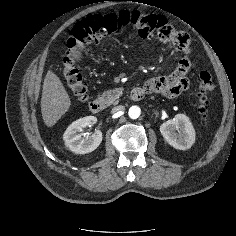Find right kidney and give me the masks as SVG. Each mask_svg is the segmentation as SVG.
<instances>
[{
  "instance_id": "obj_1",
  "label": "right kidney",
  "mask_w": 236,
  "mask_h": 236,
  "mask_svg": "<svg viewBox=\"0 0 236 236\" xmlns=\"http://www.w3.org/2000/svg\"><path fill=\"white\" fill-rule=\"evenodd\" d=\"M96 122V117L87 116L70 124L63 134L65 146L76 154H87L97 149L102 141L101 131L96 130L92 135H87L85 138H83V134H78L82 129L91 127Z\"/></svg>"
}]
</instances>
